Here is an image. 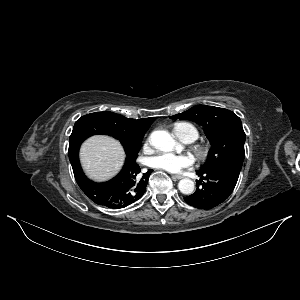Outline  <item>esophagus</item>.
Here are the masks:
<instances>
[{"instance_id": "esophagus-1", "label": "esophagus", "mask_w": 300, "mask_h": 300, "mask_svg": "<svg viewBox=\"0 0 300 300\" xmlns=\"http://www.w3.org/2000/svg\"><path fill=\"white\" fill-rule=\"evenodd\" d=\"M172 178L179 180V179H182L183 176L182 175H172Z\"/></svg>"}]
</instances>
